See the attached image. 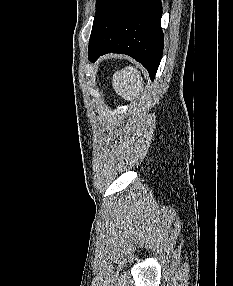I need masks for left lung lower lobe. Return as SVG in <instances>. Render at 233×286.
<instances>
[{"mask_svg": "<svg viewBox=\"0 0 233 286\" xmlns=\"http://www.w3.org/2000/svg\"><path fill=\"white\" fill-rule=\"evenodd\" d=\"M160 0H96L88 59L106 53L127 54L140 62L153 80L164 47Z\"/></svg>", "mask_w": 233, "mask_h": 286, "instance_id": "obj_1", "label": "left lung lower lobe"}]
</instances>
